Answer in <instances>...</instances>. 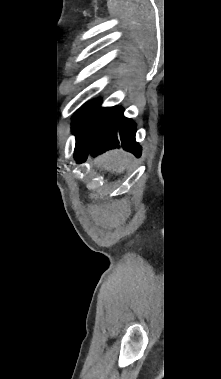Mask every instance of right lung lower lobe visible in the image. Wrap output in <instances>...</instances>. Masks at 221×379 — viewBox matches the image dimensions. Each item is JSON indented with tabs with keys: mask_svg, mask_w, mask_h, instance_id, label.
<instances>
[{
	"mask_svg": "<svg viewBox=\"0 0 221 379\" xmlns=\"http://www.w3.org/2000/svg\"><path fill=\"white\" fill-rule=\"evenodd\" d=\"M135 133L136 124L132 120L125 118L123 109L119 108L112 121L94 143H76L75 159L80 163L87 158L89 153L96 155L120 146L139 157L141 148L135 141Z\"/></svg>",
	"mask_w": 221,
	"mask_h": 379,
	"instance_id": "1",
	"label": "right lung lower lobe"
}]
</instances>
